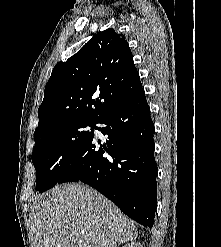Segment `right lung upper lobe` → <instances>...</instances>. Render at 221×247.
Returning <instances> with one entry per match:
<instances>
[{
    "mask_svg": "<svg viewBox=\"0 0 221 247\" xmlns=\"http://www.w3.org/2000/svg\"><path fill=\"white\" fill-rule=\"evenodd\" d=\"M141 89L127 40L112 28L99 32L54 67L34 137L68 122H97Z\"/></svg>",
    "mask_w": 221,
    "mask_h": 247,
    "instance_id": "obj_1",
    "label": "right lung upper lobe"
}]
</instances>
